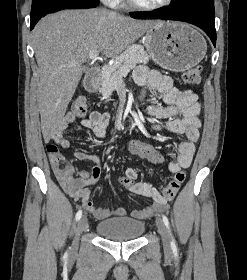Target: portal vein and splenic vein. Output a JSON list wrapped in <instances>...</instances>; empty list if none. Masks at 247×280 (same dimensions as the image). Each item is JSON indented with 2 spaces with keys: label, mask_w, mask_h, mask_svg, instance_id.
Listing matches in <instances>:
<instances>
[{
  "label": "portal vein and splenic vein",
  "mask_w": 247,
  "mask_h": 280,
  "mask_svg": "<svg viewBox=\"0 0 247 280\" xmlns=\"http://www.w3.org/2000/svg\"><path fill=\"white\" fill-rule=\"evenodd\" d=\"M89 58L91 59L92 62L98 60L99 59V52L98 51H91L89 53ZM72 65H74V63Z\"/></svg>",
  "instance_id": "portal-vein-and-splenic-vein-1"
}]
</instances>
